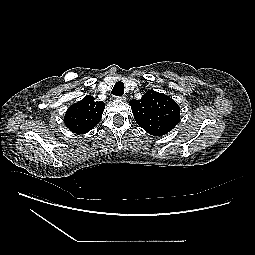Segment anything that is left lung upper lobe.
<instances>
[{
    "label": "left lung upper lobe",
    "mask_w": 255,
    "mask_h": 255,
    "mask_svg": "<svg viewBox=\"0 0 255 255\" xmlns=\"http://www.w3.org/2000/svg\"><path fill=\"white\" fill-rule=\"evenodd\" d=\"M137 124L153 136L170 132L180 120V108L169 96L148 90L140 100L129 102Z\"/></svg>",
    "instance_id": "1"
}]
</instances>
